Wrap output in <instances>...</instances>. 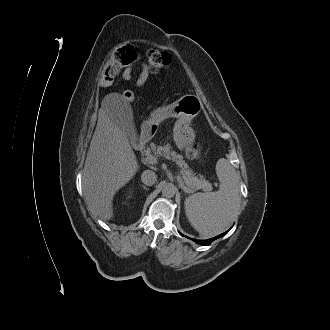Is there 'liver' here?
Returning a JSON list of instances; mask_svg holds the SVG:
<instances>
[{
    "mask_svg": "<svg viewBox=\"0 0 330 330\" xmlns=\"http://www.w3.org/2000/svg\"><path fill=\"white\" fill-rule=\"evenodd\" d=\"M147 123H144L145 129ZM136 155L119 125L114 107L102 105L85 160L82 187L90 210L102 220L113 217V197L138 171Z\"/></svg>",
    "mask_w": 330,
    "mask_h": 330,
    "instance_id": "liver-1",
    "label": "liver"
}]
</instances>
